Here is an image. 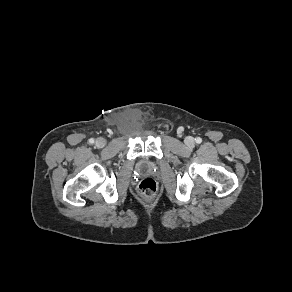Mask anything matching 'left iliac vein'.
Returning <instances> with one entry per match:
<instances>
[{"label":"left iliac vein","instance_id":"1","mask_svg":"<svg viewBox=\"0 0 292 292\" xmlns=\"http://www.w3.org/2000/svg\"><path fill=\"white\" fill-rule=\"evenodd\" d=\"M185 144L189 147L193 146L195 144V140L193 137H186L185 140H184Z\"/></svg>","mask_w":292,"mask_h":292}]
</instances>
